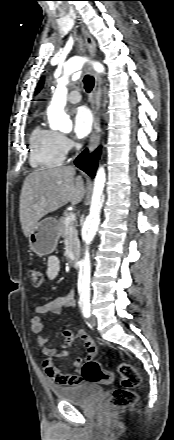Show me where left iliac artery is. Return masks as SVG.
Instances as JSON below:
<instances>
[{
  "mask_svg": "<svg viewBox=\"0 0 174 440\" xmlns=\"http://www.w3.org/2000/svg\"><path fill=\"white\" fill-rule=\"evenodd\" d=\"M80 304L82 312L86 318L90 317V293L88 291L80 292Z\"/></svg>",
  "mask_w": 174,
  "mask_h": 440,
  "instance_id": "44dca946",
  "label": "left iliac artery"
}]
</instances>
